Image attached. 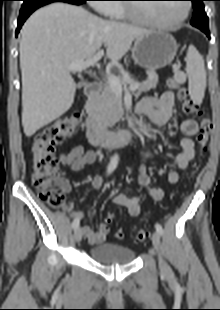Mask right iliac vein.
Segmentation results:
<instances>
[{
    "mask_svg": "<svg viewBox=\"0 0 220 310\" xmlns=\"http://www.w3.org/2000/svg\"><path fill=\"white\" fill-rule=\"evenodd\" d=\"M82 236H83V230L82 228L79 227L75 230V233H74L75 241L80 242L82 239Z\"/></svg>",
    "mask_w": 220,
    "mask_h": 310,
    "instance_id": "right-iliac-vein-1",
    "label": "right iliac vein"
}]
</instances>
